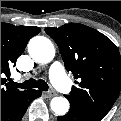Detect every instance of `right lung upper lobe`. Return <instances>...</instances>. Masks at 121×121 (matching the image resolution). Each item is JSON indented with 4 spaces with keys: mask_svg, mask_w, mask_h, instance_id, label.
Masks as SVG:
<instances>
[{
    "mask_svg": "<svg viewBox=\"0 0 121 121\" xmlns=\"http://www.w3.org/2000/svg\"><path fill=\"white\" fill-rule=\"evenodd\" d=\"M40 32L38 27L15 26L1 23V74H9L10 66L16 65L29 39ZM6 79L1 78V110L23 92L11 87H3Z\"/></svg>",
    "mask_w": 121,
    "mask_h": 121,
    "instance_id": "obj_1",
    "label": "right lung upper lobe"
}]
</instances>
